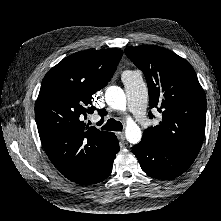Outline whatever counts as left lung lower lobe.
I'll list each match as a JSON object with an SVG mask.
<instances>
[{
  "mask_svg": "<svg viewBox=\"0 0 221 221\" xmlns=\"http://www.w3.org/2000/svg\"><path fill=\"white\" fill-rule=\"evenodd\" d=\"M142 170L150 177L173 179L185 172L195 157L159 143H139L132 147Z\"/></svg>",
  "mask_w": 221,
  "mask_h": 221,
  "instance_id": "obj_1",
  "label": "left lung lower lobe"
}]
</instances>
